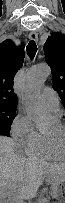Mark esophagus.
Instances as JSON below:
<instances>
[{
    "mask_svg": "<svg viewBox=\"0 0 65 203\" xmlns=\"http://www.w3.org/2000/svg\"><path fill=\"white\" fill-rule=\"evenodd\" d=\"M29 39L33 40V41H37L38 40V34H37V32H30L29 33Z\"/></svg>",
    "mask_w": 65,
    "mask_h": 203,
    "instance_id": "1",
    "label": "esophagus"
}]
</instances>
